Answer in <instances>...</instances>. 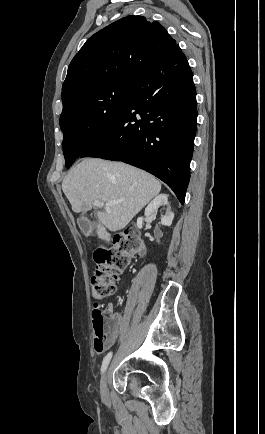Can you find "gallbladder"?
Wrapping results in <instances>:
<instances>
[{
  "instance_id": "gallbladder-1",
  "label": "gallbladder",
  "mask_w": 265,
  "mask_h": 434,
  "mask_svg": "<svg viewBox=\"0 0 265 434\" xmlns=\"http://www.w3.org/2000/svg\"><path fill=\"white\" fill-rule=\"evenodd\" d=\"M79 224L81 225V229L85 232V234L87 235V237H92V226H90V224L88 225V220H86L85 218L79 217Z\"/></svg>"
}]
</instances>
